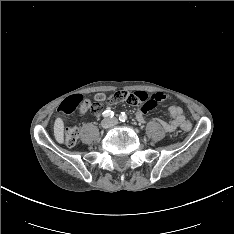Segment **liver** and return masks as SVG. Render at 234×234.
<instances>
[{
  "instance_id": "6515ba94",
  "label": "liver",
  "mask_w": 234,
  "mask_h": 234,
  "mask_svg": "<svg viewBox=\"0 0 234 234\" xmlns=\"http://www.w3.org/2000/svg\"><path fill=\"white\" fill-rule=\"evenodd\" d=\"M54 136L58 143L61 144L64 142V123L60 117L54 123Z\"/></svg>"
}]
</instances>
